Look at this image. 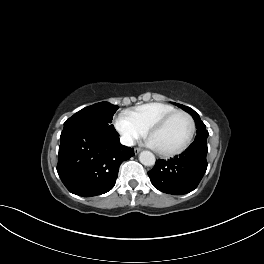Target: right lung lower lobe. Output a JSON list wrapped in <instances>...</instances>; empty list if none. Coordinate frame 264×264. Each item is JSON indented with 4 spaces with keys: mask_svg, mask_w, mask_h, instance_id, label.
I'll use <instances>...</instances> for the list:
<instances>
[{
    "mask_svg": "<svg viewBox=\"0 0 264 264\" xmlns=\"http://www.w3.org/2000/svg\"><path fill=\"white\" fill-rule=\"evenodd\" d=\"M60 140L58 175L71 193L83 197L110 191L120 164L134 155V149L121 145L116 130L68 126Z\"/></svg>",
    "mask_w": 264,
    "mask_h": 264,
    "instance_id": "obj_1",
    "label": "right lung lower lobe"
}]
</instances>
